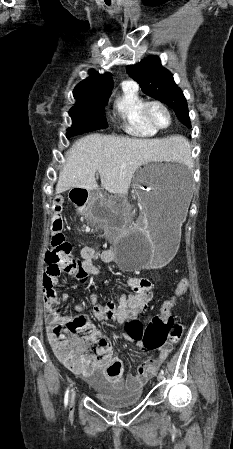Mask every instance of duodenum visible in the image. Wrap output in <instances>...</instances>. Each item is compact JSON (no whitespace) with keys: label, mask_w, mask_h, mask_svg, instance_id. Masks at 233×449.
<instances>
[{"label":"duodenum","mask_w":233,"mask_h":449,"mask_svg":"<svg viewBox=\"0 0 233 449\" xmlns=\"http://www.w3.org/2000/svg\"><path fill=\"white\" fill-rule=\"evenodd\" d=\"M70 196L72 206H85L91 195L88 186H73Z\"/></svg>","instance_id":"duodenum-1"}]
</instances>
